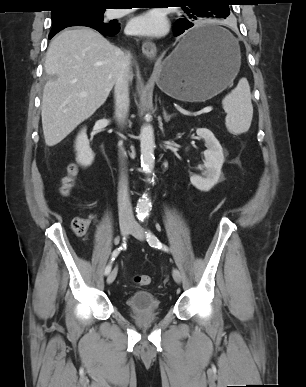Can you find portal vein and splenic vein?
Wrapping results in <instances>:
<instances>
[{"instance_id":"obj_1","label":"portal vein and splenic vein","mask_w":306,"mask_h":387,"mask_svg":"<svg viewBox=\"0 0 306 387\" xmlns=\"http://www.w3.org/2000/svg\"><path fill=\"white\" fill-rule=\"evenodd\" d=\"M81 95L84 96L85 94L82 93ZM212 109H213V108H212L211 106H207V107H205V108H203V109L201 110V113H209V112L212 111Z\"/></svg>"}]
</instances>
